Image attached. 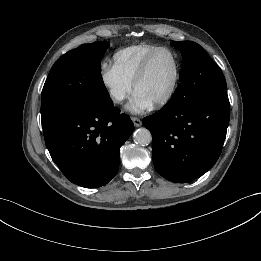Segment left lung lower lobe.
I'll return each mask as SVG.
<instances>
[{
	"mask_svg": "<svg viewBox=\"0 0 261 261\" xmlns=\"http://www.w3.org/2000/svg\"><path fill=\"white\" fill-rule=\"evenodd\" d=\"M226 90L177 107L166 104L143 119L153 137L152 159L167 180L190 182L211 169L220 156L229 124Z\"/></svg>",
	"mask_w": 261,
	"mask_h": 261,
	"instance_id": "obj_1",
	"label": "left lung lower lobe"
}]
</instances>
